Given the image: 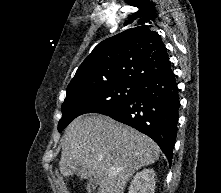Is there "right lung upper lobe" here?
Here are the masks:
<instances>
[{"label":"right lung upper lobe","instance_id":"cb5924a9","mask_svg":"<svg viewBox=\"0 0 221 193\" xmlns=\"http://www.w3.org/2000/svg\"><path fill=\"white\" fill-rule=\"evenodd\" d=\"M170 72L160 35L146 25L139 26L99 43L79 66L67 90L116 82L143 83Z\"/></svg>","mask_w":221,"mask_h":193}]
</instances>
